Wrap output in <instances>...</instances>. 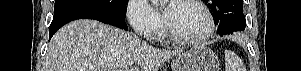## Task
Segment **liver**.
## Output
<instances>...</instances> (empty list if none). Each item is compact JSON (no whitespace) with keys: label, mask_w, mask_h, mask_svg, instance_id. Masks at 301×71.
I'll return each mask as SVG.
<instances>
[{"label":"liver","mask_w":301,"mask_h":71,"mask_svg":"<svg viewBox=\"0 0 301 71\" xmlns=\"http://www.w3.org/2000/svg\"><path fill=\"white\" fill-rule=\"evenodd\" d=\"M178 51L160 50L138 36L94 20H76L58 30L44 71H158ZM135 64L129 70V66Z\"/></svg>","instance_id":"liver-1"}]
</instances>
